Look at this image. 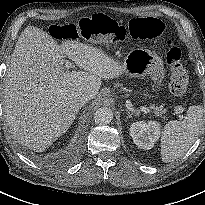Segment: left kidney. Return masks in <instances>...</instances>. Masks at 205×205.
Wrapping results in <instances>:
<instances>
[{
	"label": "left kidney",
	"mask_w": 205,
	"mask_h": 205,
	"mask_svg": "<svg viewBox=\"0 0 205 205\" xmlns=\"http://www.w3.org/2000/svg\"><path fill=\"white\" fill-rule=\"evenodd\" d=\"M130 135L139 148L149 150L159 139L160 124L156 121L134 122L130 126Z\"/></svg>",
	"instance_id": "1"
}]
</instances>
